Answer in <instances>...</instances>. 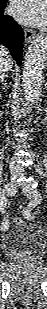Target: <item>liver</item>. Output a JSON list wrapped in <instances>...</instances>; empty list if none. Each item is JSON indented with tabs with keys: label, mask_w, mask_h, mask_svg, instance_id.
<instances>
[{
	"label": "liver",
	"mask_w": 47,
	"mask_h": 309,
	"mask_svg": "<svg viewBox=\"0 0 47 309\" xmlns=\"http://www.w3.org/2000/svg\"><path fill=\"white\" fill-rule=\"evenodd\" d=\"M5 58L4 56L2 57L1 49H0V65H1V59Z\"/></svg>",
	"instance_id": "1"
}]
</instances>
